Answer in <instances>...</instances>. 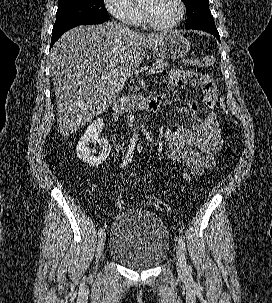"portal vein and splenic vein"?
Returning <instances> with one entry per match:
<instances>
[{
	"instance_id": "18ae733b",
	"label": "portal vein and splenic vein",
	"mask_w": 272,
	"mask_h": 303,
	"mask_svg": "<svg viewBox=\"0 0 272 303\" xmlns=\"http://www.w3.org/2000/svg\"><path fill=\"white\" fill-rule=\"evenodd\" d=\"M155 73V69L154 68H151L150 70H149V74L150 75H153ZM107 79V77H102V80H106Z\"/></svg>"
}]
</instances>
